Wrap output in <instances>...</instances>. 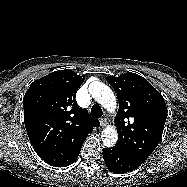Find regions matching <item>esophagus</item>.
<instances>
[{"instance_id": "1", "label": "esophagus", "mask_w": 187, "mask_h": 187, "mask_svg": "<svg viewBox=\"0 0 187 187\" xmlns=\"http://www.w3.org/2000/svg\"><path fill=\"white\" fill-rule=\"evenodd\" d=\"M100 125H101L102 127H105V126L107 125V120H106V118H101V119H100Z\"/></svg>"}]
</instances>
